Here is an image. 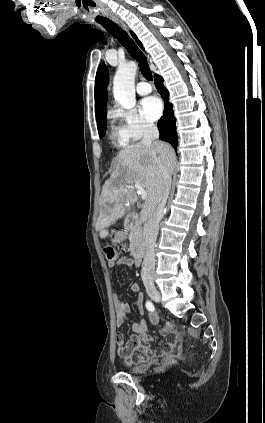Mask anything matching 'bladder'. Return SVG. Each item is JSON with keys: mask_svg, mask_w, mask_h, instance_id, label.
<instances>
[{"mask_svg": "<svg viewBox=\"0 0 265 423\" xmlns=\"http://www.w3.org/2000/svg\"><path fill=\"white\" fill-rule=\"evenodd\" d=\"M153 363H154L153 360H148V361H145L141 364L132 365L129 368V372L132 373V374L142 373V372L148 370L153 365Z\"/></svg>", "mask_w": 265, "mask_h": 423, "instance_id": "bladder-1", "label": "bladder"}]
</instances>
